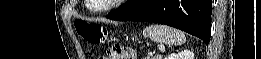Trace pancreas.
I'll list each match as a JSON object with an SVG mask.
<instances>
[{
	"mask_svg": "<svg viewBox=\"0 0 261 59\" xmlns=\"http://www.w3.org/2000/svg\"><path fill=\"white\" fill-rule=\"evenodd\" d=\"M148 59H162L161 56H155V57H148Z\"/></svg>",
	"mask_w": 261,
	"mask_h": 59,
	"instance_id": "1",
	"label": "pancreas"
}]
</instances>
